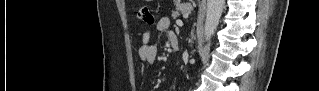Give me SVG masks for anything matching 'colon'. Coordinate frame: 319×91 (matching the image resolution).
Segmentation results:
<instances>
[{
    "mask_svg": "<svg viewBox=\"0 0 319 91\" xmlns=\"http://www.w3.org/2000/svg\"><path fill=\"white\" fill-rule=\"evenodd\" d=\"M138 18L145 23L146 25H154L155 18L151 12V9L148 6H141L137 10Z\"/></svg>",
    "mask_w": 319,
    "mask_h": 91,
    "instance_id": "1",
    "label": "colon"
}]
</instances>
